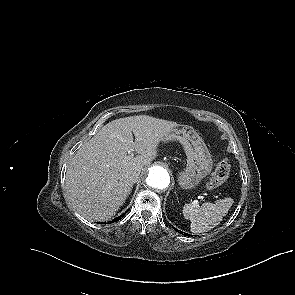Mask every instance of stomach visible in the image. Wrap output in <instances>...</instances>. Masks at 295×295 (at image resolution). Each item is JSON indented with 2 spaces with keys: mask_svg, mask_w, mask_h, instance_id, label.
<instances>
[{
  "mask_svg": "<svg viewBox=\"0 0 295 295\" xmlns=\"http://www.w3.org/2000/svg\"><path fill=\"white\" fill-rule=\"evenodd\" d=\"M163 140H178L184 147L187 165L178 173V184L182 189L195 188L210 174L213 160L204 141L192 128L177 126L165 134Z\"/></svg>",
  "mask_w": 295,
  "mask_h": 295,
  "instance_id": "obj_1",
  "label": "stomach"
}]
</instances>
